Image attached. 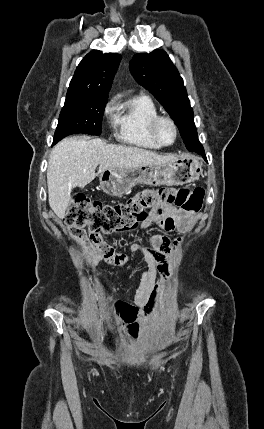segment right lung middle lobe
<instances>
[{"label": "right lung middle lobe", "instance_id": "obj_1", "mask_svg": "<svg viewBox=\"0 0 264 429\" xmlns=\"http://www.w3.org/2000/svg\"><path fill=\"white\" fill-rule=\"evenodd\" d=\"M106 103L107 98L66 96L55 131L53 145L70 134L100 135Z\"/></svg>", "mask_w": 264, "mask_h": 429}]
</instances>
